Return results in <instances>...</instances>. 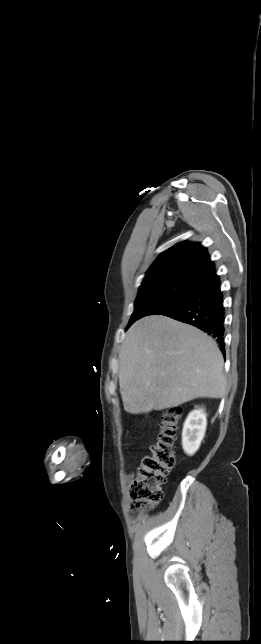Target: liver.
<instances>
[{"mask_svg": "<svg viewBox=\"0 0 261 644\" xmlns=\"http://www.w3.org/2000/svg\"><path fill=\"white\" fill-rule=\"evenodd\" d=\"M123 406L131 414L226 394L224 360L201 330L162 315L146 316L127 331L119 352Z\"/></svg>", "mask_w": 261, "mask_h": 644, "instance_id": "obj_1", "label": "liver"}]
</instances>
